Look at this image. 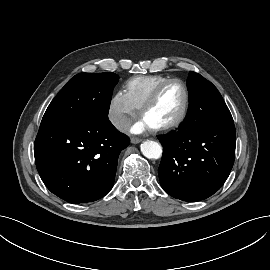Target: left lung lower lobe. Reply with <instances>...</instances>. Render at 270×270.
Masks as SVG:
<instances>
[{
	"mask_svg": "<svg viewBox=\"0 0 270 270\" xmlns=\"http://www.w3.org/2000/svg\"><path fill=\"white\" fill-rule=\"evenodd\" d=\"M190 108L176 131L158 137L164 148L158 173L169 195L192 202L210 197L228 178L235 158L236 131L234 123H196Z\"/></svg>",
	"mask_w": 270,
	"mask_h": 270,
	"instance_id": "obj_1",
	"label": "left lung lower lobe"
}]
</instances>
